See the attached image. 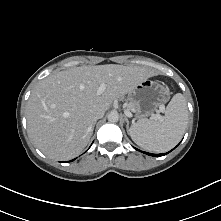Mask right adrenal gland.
Segmentation results:
<instances>
[{"label":"right adrenal gland","mask_w":221,"mask_h":221,"mask_svg":"<svg viewBox=\"0 0 221 221\" xmlns=\"http://www.w3.org/2000/svg\"><path fill=\"white\" fill-rule=\"evenodd\" d=\"M95 124H96V122H94V123H93V126H92V131L94 130V126H95Z\"/></svg>","instance_id":"right-adrenal-gland-1"}]
</instances>
